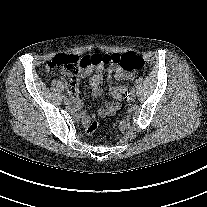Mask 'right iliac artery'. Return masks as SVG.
Returning a JSON list of instances; mask_svg holds the SVG:
<instances>
[{
	"label": "right iliac artery",
	"instance_id": "obj_1",
	"mask_svg": "<svg viewBox=\"0 0 207 207\" xmlns=\"http://www.w3.org/2000/svg\"><path fill=\"white\" fill-rule=\"evenodd\" d=\"M62 99L65 101L67 98L65 95L62 96Z\"/></svg>",
	"mask_w": 207,
	"mask_h": 207
}]
</instances>
